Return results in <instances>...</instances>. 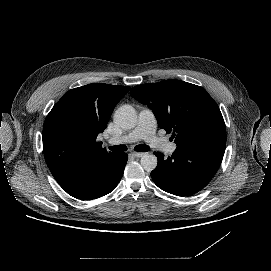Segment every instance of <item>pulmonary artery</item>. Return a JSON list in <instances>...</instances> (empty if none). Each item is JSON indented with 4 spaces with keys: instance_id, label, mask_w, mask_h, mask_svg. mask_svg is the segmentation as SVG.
I'll return each mask as SVG.
<instances>
[{
    "instance_id": "1",
    "label": "pulmonary artery",
    "mask_w": 271,
    "mask_h": 271,
    "mask_svg": "<svg viewBox=\"0 0 271 271\" xmlns=\"http://www.w3.org/2000/svg\"><path fill=\"white\" fill-rule=\"evenodd\" d=\"M155 133V116L150 109L143 108L138 115L136 127L133 130L123 135L108 137L107 142L110 145H119L145 140L163 149L166 153L173 154L176 150V144L157 138Z\"/></svg>"
}]
</instances>
